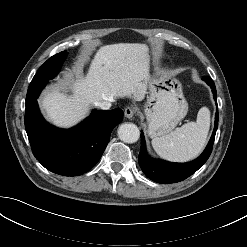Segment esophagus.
Wrapping results in <instances>:
<instances>
[{"label": "esophagus", "mask_w": 247, "mask_h": 247, "mask_svg": "<svg viewBox=\"0 0 247 247\" xmlns=\"http://www.w3.org/2000/svg\"><path fill=\"white\" fill-rule=\"evenodd\" d=\"M135 113H136V108L135 107L129 106V107L125 108L124 115H125V117L127 119L133 118Z\"/></svg>", "instance_id": "obj_1"}]
</instances>
